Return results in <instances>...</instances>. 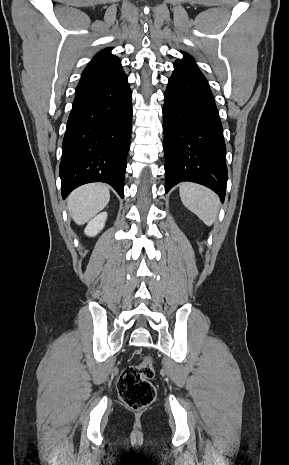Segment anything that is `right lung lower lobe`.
Returning <instances> with one entry per match:
<instances>
[{"label":"right lung lower lobe","mask_w":289,"mask_h":465,"mask_svg":"<svg viewBox=\"0 0 289 465\" xmlns=\"http://www.w3.org/2000/svg\"><path fill=\"white\" fill-rule=\"evenodd\" d=\"M132 128L127 77L74 99L62 144V197L89 182L110 184L123 198Z\"/></svg>","instance_id":"right-lung-lower-lobe-1"}]
</instances>
